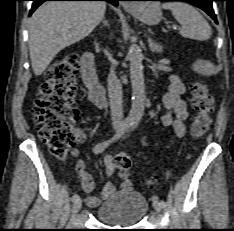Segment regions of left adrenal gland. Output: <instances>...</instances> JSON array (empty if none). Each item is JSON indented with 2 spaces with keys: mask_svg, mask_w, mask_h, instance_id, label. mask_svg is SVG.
I'll return each mask as SVG.
<instances>
[{
  "mask_svg": "<svg viewBox=\"0 0 234 231\" xmlns=\"http://www.w3.org/2000/svg\"><path fill=\"white\" fill-rule=\"evenodd\" d=\"M147 41H148V45H149V49L152 51V52H161L162 51V46L153 41L152 38L148 35L147 36Z\"/></svg>",
  "mask_w": 234,
  "mask_h": 231,
  "instance_id": "left-adrenal-gland-1",
  "label": "left adrenal gland"
}]
</instances>
